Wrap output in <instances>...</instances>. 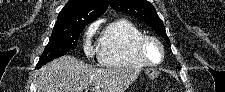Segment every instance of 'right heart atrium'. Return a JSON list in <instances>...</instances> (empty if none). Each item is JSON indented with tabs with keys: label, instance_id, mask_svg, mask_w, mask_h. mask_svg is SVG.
<instances>
[{
	"label": "right heart atrium",
	"instance_id": "obj_1",
	"mask_svg": "<svg viewBox=\"0 0 225 92\" xmlns=\"http://www.w3.org/2000/svg\"><path fill=\"white\" fill-rule=\"evenodd\" d=\"M96 30H97L96 24H91L86 28L83 35V49L88 57H91L93 54L92 38L96 33Z\"/></svg>",
	"mask_w": 225,
	"mask_h": 92
}]
</instances>
